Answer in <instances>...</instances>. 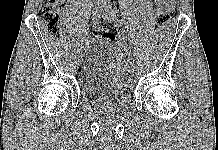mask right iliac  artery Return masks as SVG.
I'll use <instances>...</instances> for the list:
<instances>
[{
    "label": "right iliac artery",
    "instance_id": "82829eb1",
    "mask_svg": "<svg viewBox=\"0 0 218 150\" xmlns=\"http://www.w3.org/2000/svg\"><path fill=\"white\" fill-rule=\"evenodd\" d=\"M99 19H100V17H92V25L95 26V25L99 24ZM85 42L88 43V40L86 39ZM83 47L86 49L87 45L83 44L80 49H82Z\"/></svg>",
    "mask_w": 218,
    "mask_h": 150
}]
</instances>
